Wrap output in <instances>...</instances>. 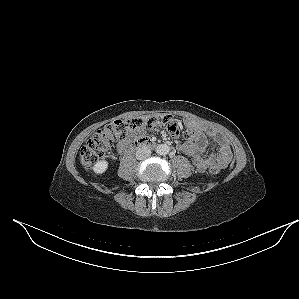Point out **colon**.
<instances>
[{
	"label": "colon",
	"instance_id": "obj_1",
	"mask_svg": "<svg viewBox=\"0 0 299 299\" xmlns=\"http://www.w3.org/2000/svg\"><path fill=\"white\" fill-rule=\"evenodd\" d=\"M166 127L172 134H178L179 123L167 114H149L141 117H133L127 120H117L99 130L80 150V162L86 169L91 168L109 149L119 141L126 140L132 135L148 129ZM184 139L187 142H194L197 139V132L194 129H187L184 132ZM221 170L219 165L209 167L210 174H217Z\"/></svg>",
	"mask_w": 299,
	"mask_h": 299
}]
</instances>
